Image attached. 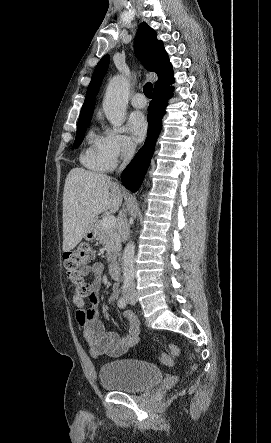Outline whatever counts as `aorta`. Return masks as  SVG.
Masks as SVG:
<instances>
[{
	"label": "aorta",
	"mask_w": 271,
	"mask_h": 443,
	"mask_svg": "<svg viewBox=\"0 0 271 443\" xmlns=\"http://www.w3.org/2000/svg\"><path fill=\"white\" fill-rule=\"evenodd\" d=\"M129 90V82L123 76H113L107 86L103 110L108 122L112 124L113 130H118L125 122ZM134 255V241H128L122 255V271L125 281H133L135 277Z\"/></svg>",
	"instance_id": "762f6f07"
}]
</instances>
